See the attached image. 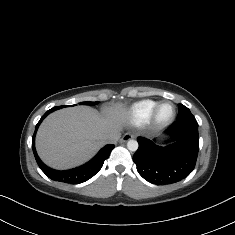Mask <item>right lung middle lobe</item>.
<instances>
[{
	"mask_svg": "<svg viewBox=\"0 0 235 235\" xmlns=\"http://www.w3.org/2000/svg\"><path fill=\"white\" fill-rule=\"evenodd\" d=\"M98 102H82L80 104H83V105H95L97 104ZM63 107H66V106H57V107H54L53 109L54 110H57V109H60V108H63Z\"/></svg>",
	"mask_w": 235,
	"mask_h": 235,
	"instance_id": "dd1d6c3e",
	"label": "right lung middle lobe"
}]
</instances>
